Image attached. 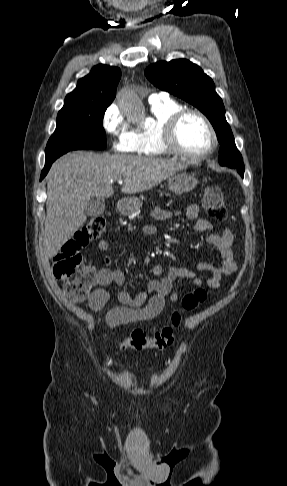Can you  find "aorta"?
I'll return each mask as SVG.
<instances>
[{
  "label": "aorta",
  "instance_id": "obj_1",
  "mask_svg": "<svg viewBox=\"0 0 287 486\" xmlns=\"http://www.w3.org/2000/svg\"><path fill=\"white\" fill-rule=\"evenodd\" d=\"M120 108L131 121L138 120L141 117L140 102L137 97L132 95H126L123 97ZM149 123V120H146Z\"/></svg>",
  "mask_w": 287,
  "mask_h": 486
}]
</instances>
